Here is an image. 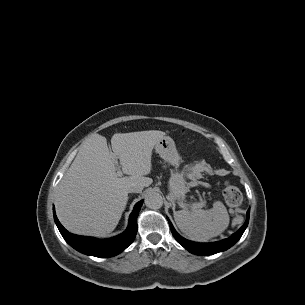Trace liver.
<instances>
[{
    "label": "liver",
    "mask_w": 305,
    "mask_h": 305,
    "mask_svg": "<svg viewBox=\"0 0 305 305\" xmlns=\"http://www.w3.org/2000/svg\"><path fill=\"white\" fill-rule=\"evenodd\" d=\"M164 136L158 130L114 134L113 154L104 136L87 138L56 189V213L62 225L80 235L111 233L126 207L129 189L152 184L146 177L152 169V150ZM114 156L129 176L116 175Z\"/></svg>",
    "instance_id": "obj_1"
}]
</instances>
